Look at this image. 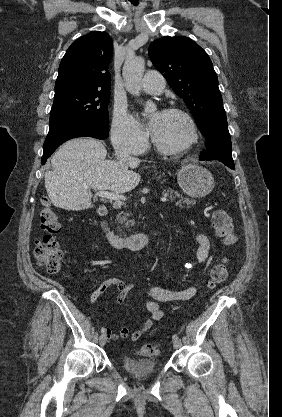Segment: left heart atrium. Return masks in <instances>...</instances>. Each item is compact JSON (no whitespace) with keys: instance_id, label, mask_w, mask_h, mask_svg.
Returning a JSON list of instances; mask_svg holds the SVG:
<instances>
[{"instance_id":"39dd6f15","label":"left heart atrium","mask_w":282,"mask_h":417,"mask_svg":"<svg viewBox=\"0 0 282 417\" xmlns=\"http://www.w3.org/2000/svg\"><path fill=\"white\" fill-rule=\"evenodd\" d=\"M155 125H156V121H155V120H152V121H151V127H152L153 129H154Z\"/></svg>"}]
</instances>
